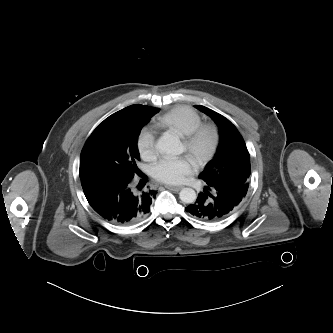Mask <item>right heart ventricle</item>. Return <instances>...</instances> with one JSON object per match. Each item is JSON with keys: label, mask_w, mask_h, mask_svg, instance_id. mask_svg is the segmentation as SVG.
<instances>
[{"label": "right heart ventricle", "mask_w": 333, "mask_h": 333, "mask_svg": "<svg viewBox=\"0 0 333 333\" xmlns=\"http://www.w3.org/2000/svg\"><path fill=\"white\" fill-rule=\"evenodd\" d=\"M202 123L199 113L189 107L180 106L171 109L160 116L155 126L160 129H168L184 137L191 133Z\"/></svg>", "instance_id": "e07e8e85"}]
</instances>
